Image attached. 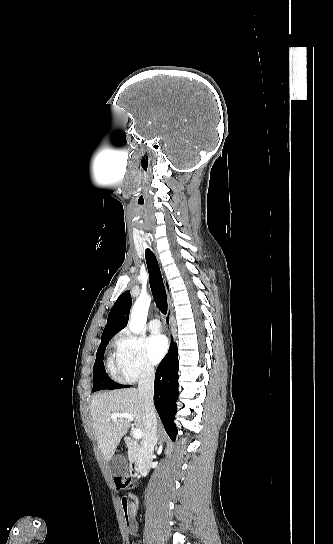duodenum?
<instances>
[{"label": "duodenum", "instance_id": "obj_1", "mask_svg": "<svg viewBox=\"0 0 333 544\" xmlns=\"http://www.w3.org/2000/svg\"><path fill=\"white\" fill-rule=\"evenodd\" d=\"M125 444L132 457L130 475L136 478L141 477L146 473L149 466V461L145 455L146 453L140 444L128 437L125 438Z\"/></svg>", "mask_w": 333, "mask_h": 544}]
</instances>
